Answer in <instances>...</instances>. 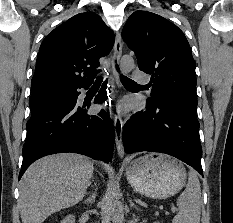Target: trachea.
<instances>
[{
  "mask_svg": "<svg viewBox=\"0 0 233 223\" xmlns=\"http://www.w3.org/2000/svg\"><path fill=\"white\" fill-rule=\"evenodd\" d=\"M101 79H97L96 83H101ZM121 82L123 84H129V85H138V83L134 82L133 80H131L130 78L126 77V76H121Z\"/></svg>",
  "mask_w": 233,
  "mask_h": 223,
  "instance_id": "1",
  "label": "trachea"
}]
</instances>
